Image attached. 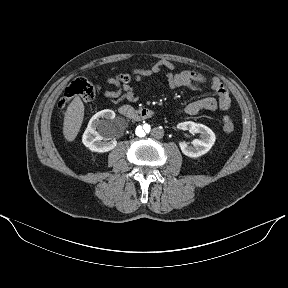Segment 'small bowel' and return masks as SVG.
<instances>
[{"label":"small bowel","mask_w":288,"mask_h":288,"mask_svg":"<svg viewBox=\"0 0 288 288\" xmlns=\"http://www.w3.org/2000/svg\"><path fill=\"white\" fill-rule=\"evenodd\" d=\"M132 72L142 77L162 73L165 75L171 89L183 87L191 90H202L203 86L208 83V79L203 74L186 69L178 70L168 60H160L149 69H133ZM107 82L114 85V89L103 92L104 98L109 102L119 104L124 101L136 102L138 100V95L131 85L127 83L121 84L113 79H108ZM209 87L216 97L208 96L190 102L179 113L187 116H196L202 111L229 110L231 99L225 86L217 78H212L209 81Z\"/></svg>","instance_id":"obj_1"}]
</instances>
